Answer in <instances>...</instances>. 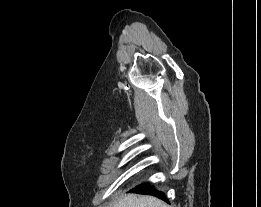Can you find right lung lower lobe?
Listing matches in <instances>:
<instances>
[{"label":"right lung lower lobe","mask_w":261,"mask_h":207,"mask_svg":"<svg viewBox=\"0 0 261 207\" xmlns=\"http://www.w3.org/2000/svg\"><path fill=\"white\" fill-rule=\"evenodd\" d=\"M133 192L139 193V194H149L157 196L158 198L168 202L164 194L160 191H157L154 189V187H151L149 184H142L137 185L135 188L132 189Z\"/></svg>","instance_id":"obj_1"}]
</instances>
